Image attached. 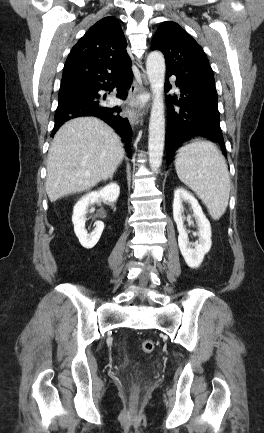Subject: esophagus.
<instances>
[{"label": "esophagus", "mask_w": 264, "mask_h": 433, "mask_svg": "<svg viewBox=\"0 0 264 433\" xmlns=\"http://www.w3.org/2000/svg\"><path fill=\"white\" fill-rule=\"evenodd\" d=\"M148 84V81L146 78L143 79V85L142 87L134 81L131 85V88L128 93V102H136L138 103L142 92L145 90L146 85ZM126 113L128 115V119L131 123V125H137L139 123L140 117H141V109L139 106L135 107H126Z\"/></svg>", "instance_id": "esophagus-1"}]
</instances>
